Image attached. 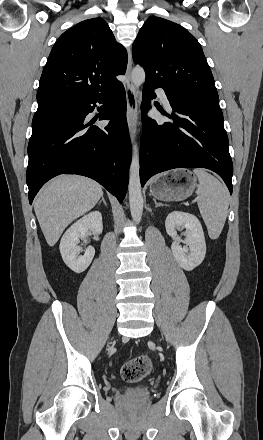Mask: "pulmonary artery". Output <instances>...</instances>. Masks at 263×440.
I'll return each instance as SVG.
<instances>
[{
  "label": "pulmonary artery",
  "instance_id": "e3ab8cb5",
  "mask_svg": "<svg viewBox=\"0 0 263 440\" xmlns=\"http://www.w3.org/2000/svg\"><path fill=\"white\" fill-rule=\"evenodd\" d=\"M156 93L158 95V97L160 98V100L162 101V103L165 105V107L168 110H171V105L169 103L168 97L165 93V91L161 88L156 89Z\"/></svg>",
  "mask_w": 263,
  "mask_h": 440
}]
</instances>
